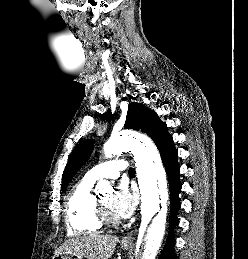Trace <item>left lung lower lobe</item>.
I'll return each instance as SVG.
<instances>
[{"mask_svg": "<svg viewBox=\"0 0 248 259\" xmlns=\"http://www.w3.org/2000/svg\"><path fill=\"white\" fill-rule=\"evenodd\" d=\"M158 149L161 153L162 161L169 178L171 202L169 235L166 244L163 248V251L159 257L164 259H176L173 248L175 243L173 228L178 225L177 212L181 207V203L179 201L178 196L182 187L179 181L180 166L177 162L178 152L173 145V140L166 142L165 144L161 145Z\"/></svg>", "mask_w": 248, "mask_h": 259, "instance_id": "obj_1", "label": "left lung lower lobe"}]
</instances>
